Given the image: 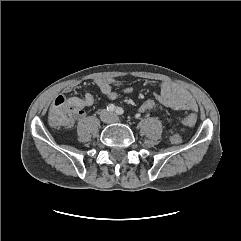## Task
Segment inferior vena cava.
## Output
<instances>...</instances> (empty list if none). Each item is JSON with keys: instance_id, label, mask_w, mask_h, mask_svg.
<instances>
[{"instance_id": "obj_1", "label": "inferior vena cava", "mask_w": 241, "mask_h": 241, "mask_svg": "<svg viewBox=\"0 0 241 241\" xmlns=\"http://www.w3.org/2000/svg\"><path fill=\"white\" fill-rule=\"evenodd\" d=\"M103 113H104V111H103ZM102 113V114H103ZM101 119L103 120V121H105V122H111L112 121V119H105L104 117H103V115H101Z\"/></svg>"}]
</instances>
